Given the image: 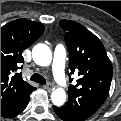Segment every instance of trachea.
Returning a JSON list of instances; mask_svg holds the SVG:
<instances>
[{
	"label": "trachea",
	"instance_id": "obj_1",
	"mask_svg": "<svg viewBox=\"0 0 121 121\" xmlns=\"http://www.w3.org/2000/svg\"><path fill=\"white\" fill-rule=\"evenodd\" d=\"M30 80L37 82L39 84H42V85L46 84V79L42 75L37 74V73L33 74Z\"/></svg>",
	"mask_w": 121,
	"mask_h": 121
}]
</instances>
